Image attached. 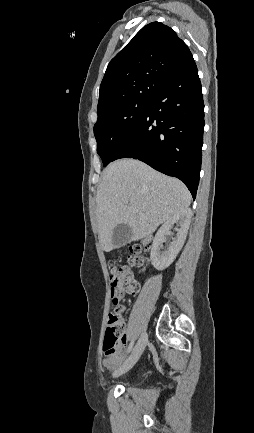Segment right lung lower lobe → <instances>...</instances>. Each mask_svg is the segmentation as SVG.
<instances>
[{"mask_svg": "<svg viewBox=\"0 0 254 433\" xmlns=\"http://www.w3.org/2000/svg\"><path fill=\"white\" fill-rule=\"evenodd\" d=\"M203 130L202 87L192 60L155 93L111 162L120 158L141 160L157 171L180 179L195 199Z\"/></svg>", "mask_w": 254, "mask_h": 433, "instance_id": "1", "label": "right lung lower lobe"}]
</instances>
